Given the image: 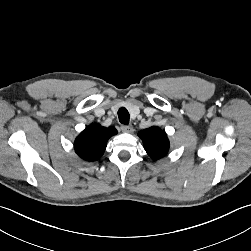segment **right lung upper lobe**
Segmentation results:
<instances>
[{"label": "right lung upper lobe", "instance_id": "right-lung-upper-lobe-1", "mask_svg": "<svg viewBox=\"0 0 251 251\" xmlns=\"http://www.w3.org/2000/svg\"><path fill=\"white\" fill-rule=\"evenodd\" d=\"M117 134L114 127H103L100 124H90L76 138L74 149L84 160H98L104 153L107 141Z\"/></svg>", "mask_w": 251, "mask_h": 251}]
</instances>
